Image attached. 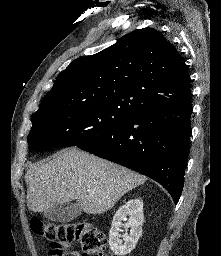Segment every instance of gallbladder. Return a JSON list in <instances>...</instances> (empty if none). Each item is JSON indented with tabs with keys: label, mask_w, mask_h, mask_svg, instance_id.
<instances>
[{
	"label": "gallbladder",
	"mask_w": 221,
	"mask_h": 256,
	"mask_svg": "<svg viewBox=\"0 0 221 256\" xmlns=\"http://www.w3.org/2000/svg\"><path fill=\"white\" fill-rule=\"evenodd\" d=\"M82 209L78 203L56 204L44 212L45 218L53 222L66 223L81 215Z\"/></svg>",
	"instance_id": "1"
}]
</instances>
